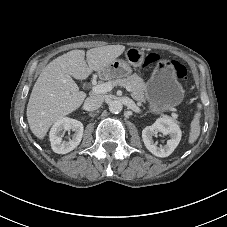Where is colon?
Instances as JSON below:
<instances>
[{
  "label": "colon",
  "mask_w": 227,
  "mask_h": 227,
  "mask_svg": "<svg viewBox=\"0 0 227 227\" xmlns=\"http://www.w3.org/2000/svg\"><path fill=\"white\" fill-rule=\"evenodd\" d=\"M158 55L156 54H150L146 57L145 61H144V67H150L152 64H154L157 60H158ZM174 71L175 74L177 76V78L179 80H181L182 82H184L186 80L187 77V71L185 69L184 66H182L179 63H174Z\"/></svg>",
  "instance_id": "colon-1"
}]
</instances>
